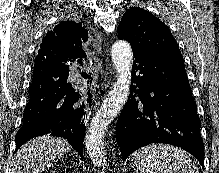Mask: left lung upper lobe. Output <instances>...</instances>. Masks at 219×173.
Returning a JSON list of instances; mask_svg holds the SVG:
<instances>
[{
    "instance_id": "left-lung-upper-lobe-1",
    "label": "left lung upper lobe",
    "mask_w": 219,
    "mask_h": 173,
    "mask_svg": "<svg viewBox=\"0 0 219 173\" xmlns=\"http://www.w3.org/2000/svg\"><path fill=\"white\" fill-rule=\"evenodd\" d=\"M117 31L120 39L130 42L133 52H142L168 60H183L170 29L142 8L128 9Z\"/></svg>"
}]
</instances>
